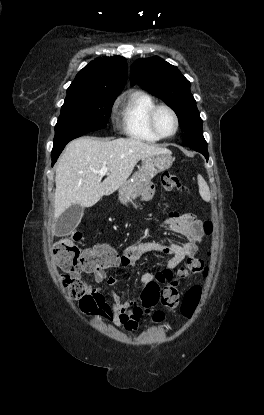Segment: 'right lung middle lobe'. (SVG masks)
Instances as JSON below:
<instances>
[{
  "label": "right lung middle lobe",
  "mask_w": 264,
  "mask_h": 415,
  "mask_svg": "<svg viewBox=\"0 0 264 415\" xmlns=\"http://www.w3.org/2000/svg\"><path fill=\"white\" fill-rule=\"evenodd\" d=\"M117 95L66 97L55 126L53 150L74 138L106 127Z\"/></svg>",
  "instance_id": "dd1d6c3e"
}]
</instances>
